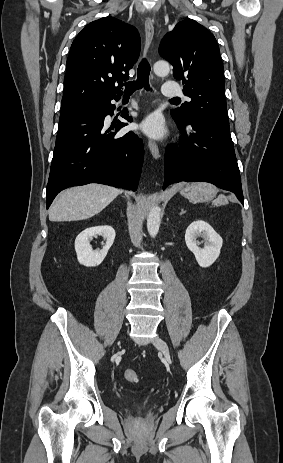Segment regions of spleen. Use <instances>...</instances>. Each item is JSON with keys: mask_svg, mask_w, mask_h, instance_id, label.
<instances>
[{"mask_svg": "<svg viewBox=\"0 0 283 463\" xmlns=\"http://www.w3.org/2000/svg\"><path fill=\"white\" fill-rule=\"evenodd\" d=\"M215 196V195H214ZM213 196V197H214ZM212 197V198H213ZM217 202H222V203H227V199L224 195H219V197L216 199Z\"/></svg>", "mask_w": 283, "mask_h": 463, "instance_id": "1", "label": "spleen"}]
</instances>
